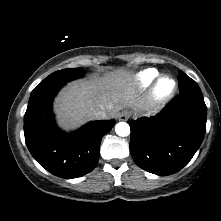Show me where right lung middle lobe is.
I'll use <instances>...</instances> for the list:
<instances>
[{
  "mask_svg": "<svg viewBox=\"0 0 221 221\" xmlns=\"http://www.w3.org/2000/svg\"><path fill=\"white\" fill-rule=\"evenodd\" d=\"M83 76L81 68H69L64 70L56 71L45 78L31 94L36 93L40 90L47 89L55 86H62L66 82Z\"/></svg>",
  "mask_w": 221,
  "mask_h": 221,
  "instance_id": "dd1d6c3e",
  "label": "right lung middle lobe"
}]
</instances>
